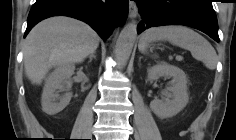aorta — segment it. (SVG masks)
Segmentation results:
<instances>
[{"mask_svg":"<svg viewBox=\"0 0 236 140\" xmlns=\"http://www.w3.org/2000/svg\"><path fill=\"white\" fill-rule=\"evenodd\" d=\"M137 37V25L132 22L127 24L121 31L115 46L116 60L126 63L131 55Z\"/></svg>","mask_w":236,"mask_h":140,"instance_id":"762f6f07","label":"aorta"}]
</instances>
